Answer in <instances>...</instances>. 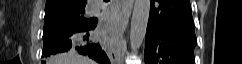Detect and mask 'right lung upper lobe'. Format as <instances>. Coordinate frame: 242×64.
Masks as SVG:
<instances>
[{
    "label": "right lung upper lobe",
    "mask_w": 242,
    "mask_h": 64,
    "mask_svg": "<svg viewBox=\"0 0 242 64\" xmlns=\"http://www.w3.org/2000/svg\"><path fill=\"white\" fill-rule=\"evenodd\" d=\"M87 0H46L45 13L56 10H71L85 6Z\"/></svg>",
    "instance_id": "obj_1"
}]
</instances>
